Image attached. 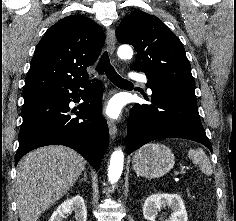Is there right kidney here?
Instances as JSON below:
<instances>
[{
  "mask_svg": "<svg viewBox=\"0 0 236 221\" xmlns=\"http://www.w3.org/2000/svg\"><path fill=\"white\" fill-rule=\"evenodd\" d=\"M75 213L76 221H87V208L84 199L80 195H76L67 199L53 212L49 221H62L66 214Z\"/></svg>",
  "mask_w": 236,
  "mask_h": 221,
  "instance_id": "1",
  "label": "right kidney"
}]
</instances>
